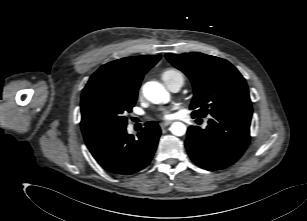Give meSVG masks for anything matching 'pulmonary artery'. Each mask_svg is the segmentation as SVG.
<instances>
[{
	"instance_id": "pulmonary-artery-1",
	"label": "pulmonary artery",
	"mask_w": 307,
	"mask_h": 221,
	"mask_svg": "<svg viewBox=\"0 0 307 221\" xmlns=\"http://www.w3.org/2000/svg\"><path fill=\"white\" fill-rule=\"evenodd\" d=\"M184 83V78L183 77H177L173 79L167 87L172 91V92H178L181 87L183 86Z\"/></svg>"
}]
</instances>
